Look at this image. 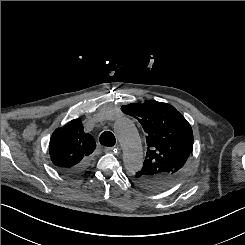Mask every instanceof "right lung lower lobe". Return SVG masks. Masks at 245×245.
I'll return each mask as SVG.
<instances>
[{
    "label": "right lung lower lobe",
    "instance_id": "98d812e1",
    "mask_svg": "<svg viewBox=\"0 0 245 245\" xmlns=\"http://www.w3.org/2000/svg\"><path fill=\"white\" fill-rule=\"evenodd\" d=\"M89 164H90V158L86 159L85 161H83L81 164H79L78 166H76L72 170H62V171L66 172L68 174H78V173L84 171L85 169H87Z\"/></svg>",
    "mask_w": 245,
    "mask_h": 245
}]
</instances>
